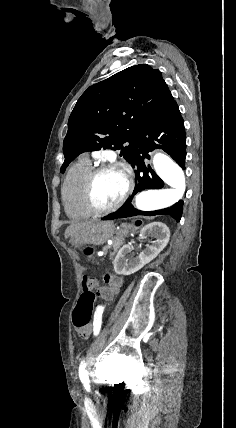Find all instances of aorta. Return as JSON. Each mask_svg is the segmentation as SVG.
<instances>
[{
    "mask_svg": "<svg viewBox=\"0 0 236 428\" xmlns=\"http://www.w3.org/2000/svg\"><path fill=\"white\" fill-rule=\"evenodd\" d=\"M153 166L157 175L171 188L139 193L135 205L141 211L153 212L168 208L178 202L185 192L184 172L169 156L157 153L153 157Z\"/></svg>",
    "mask_w": 236,
    "mask_h": 428,
    "instance_id": "aorta-1",
    "label": "aorta"
}]
</instances>
